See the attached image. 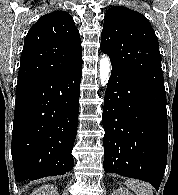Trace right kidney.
Instances as JSON below:
<instances>
[{
    "instance_id": "ca27d5eb",
    "label": "right kidney",
    "mask_w": 178,
    "mask_h": 195,
    "mask_svg": "<svg viewBox=\"0 0 178 195\" xmlns=\"http://www.w3.org/2000/svg\"><path fill=\"white\" fill-rule=\"evenodd\" d=\"M30 195H58V192L54 185L47 184L34 190Z\"/></svg>"
}]
</instances>
